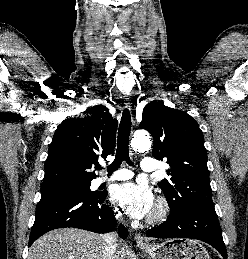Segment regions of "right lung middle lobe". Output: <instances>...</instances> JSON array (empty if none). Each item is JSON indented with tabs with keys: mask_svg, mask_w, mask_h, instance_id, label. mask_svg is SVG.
I'll return each instance as SVG.
<instances>
[{
	"mask_svg": "<svg viewBox=\"0 0 248 259\" xmlns=\"http://www.w3.org/2000/svg\"><path fill=\"white\" fill-rule=\"evenodd\" d=\"M91 180L88 181H65L58 183L42 184L41 194L58 191H68L82 194H97L99 192L90 190Z\"/></svg>",
	"mask_w": 248,
	"mask_h": 259,
	"instance_id": "1",
	"label": "right lung middle lobe"
}]
</instances>
